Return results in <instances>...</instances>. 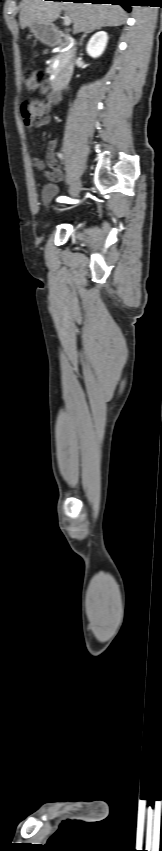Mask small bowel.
Instances as JSON below:
<instances>
[{
    "label": "small bowel",
    "instance_id": "c3829d8e",
    "mask_svg": "<svg viewBox=\"0 0 162 851\" xmlns=\"http://www.w3.org/2000/svg\"><path fill=\"white\" fill-rule=\"evenodd\" d=\"M48 85L49 87L43 85L41 88L42 95L46 97L44 100L36 98L28 103H24L21 106V114L23 116L26 126L29 128L41 127L48 124L50 121V113L52 112L53 108L57 106L60 100L63 99L65 96L64 91L61 89H58L55 91V93H52L51 88L53 89L57 85L55 81H50ZM70 86L74 87L75 83L71 82ZM70 86H66L65 90L70 91ZM56 143V139H52L49 142V147H55ZM32 164L34 168L38 170H44L47 165L51 169V171L45 172V175L50 180H57L62 176L58 161L51 151L47 153L45 161L40 158H33Z\"/></svg>",
    "mask_w": 162,
    "mask_h": 851
}]
</instances>
